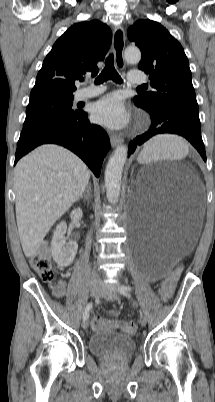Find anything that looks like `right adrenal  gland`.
<instances>
[{"mask_svg": "<svg viewBox=\"0 0 215 402\" xmlns=\"http://www.w3.org/2000/svg\"><path fill=\"white\" fill-rule=\"evenodd\" d=\"M91 197H92V194H91V183L89 182L86 191L80 196L79 200H80V199H84V200H86L88 203H90Z\"/></svg>", "mask_w": 215, "mask_h": 402, "instance_id": "right-adrenal-gland-1", "label": "right adrenal gland"}]
</instances>
